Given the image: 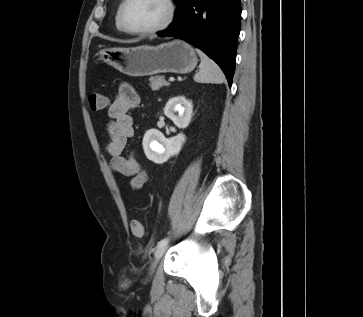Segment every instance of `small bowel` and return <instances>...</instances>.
Wrapping results in <instances>:
<instances>
[{
    "instance_id": "c3829d8e",
    "label": "small bowel",
    "mask_w": 363,
    "mask_h": 317,
    "mask_svg": "<svg viewBox=\"0 0 363 317\" xmlns=\"http://www.w3.org/2000/svg\"><path fill=\"white\" fill-rule=\"evenodd\" d=\"M141 98L135 89L127 84H122L116 97L108 108L110 121L107 124V132L110 137L106 150L110 156L111 168L130 179L132 189L141 188L147 181V174L143 170L134 152L124 155L128 139L134 134L133 119L130 111L136 108Z\"/></svg>"
}]
</instances>
